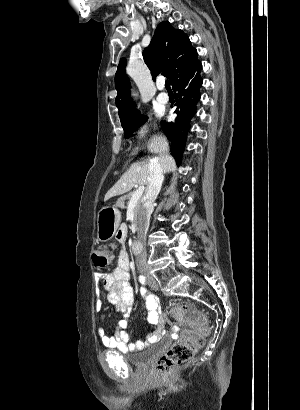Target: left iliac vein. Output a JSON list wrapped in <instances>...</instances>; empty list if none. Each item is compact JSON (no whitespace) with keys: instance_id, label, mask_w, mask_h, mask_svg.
Returning a JSON list of instances; mask_svg holds the SVG:
<instances>
[{"instance_id":"obj_1","label":"left iliac vein","mask_w":300,"mask_h":410,"mask_svg":"<svg viewBox=\"0 0 300 410\" xmlns=\"http://www.w3.org/2000/svg\"><path fill=\"white\" fill-rule=\"evenodd\" d=\"M148 284L150 285V287L154 290H158L159 286L157 281L152 277V276H148Z\"/></svg>"}]
</instances>
